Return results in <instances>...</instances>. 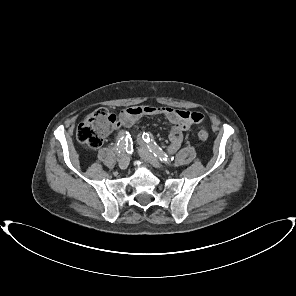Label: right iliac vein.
Wrapping results in <instances>:
<instances>
[{
    "instance_id": "obj_1",
    "label": "right iliac vein",
    "mask_w": 296,
    "mask_h": 296,
    "mask_svg": "<svg viewBox=\"0 0 296 296\" xmlns=\"http://www.w3.org/2000/svg\"><path fill=\"white\" fill-rule=\"evenodd\" d=\"M119 168L125 170L129 165V157L126 154H123L119 159Z\"/></svg>"
}]
</instances>
